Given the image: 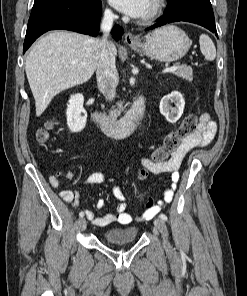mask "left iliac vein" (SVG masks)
Instances as JSON below:
<instances>
[{
	"label": "left iliac vein",
	"instance_id": "obj_1",
	"mask_svg": "<svg viewBox=\"0 0 247 296\" xmlns=\"http://www.w3.org/2000/svg\"><path fill=\"white\" fill-rule=\"evenodd\" d=\"M154 225H155L156 229L162 234L164 247L170 248V244L168 241V230H167V226H166V223L164 222V220H162L161 218L155 219Z\"/></svg>",
	"mask_w": 247,
	"mask_h": 296
}]
</instances>
